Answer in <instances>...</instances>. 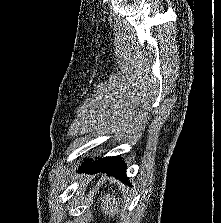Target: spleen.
<instances>
[{
    "mask_svg": "<svg viewBox=\"0 0 221 223\" xmlns=\"http://www.w3.org/2000/svg\"><path fill=\"white\" fill-rule=\"evenodd\" d=\"M102 204H101V211L105 216L115 217L116 214L119 212V208L116 202V197L110 195L109 193L103 197Z\"/></svg>",
    "mask_w": 221,
    "mask_h": 223,
    "instance_id": "1",
    "label": "spleen"
}]
</instances>
